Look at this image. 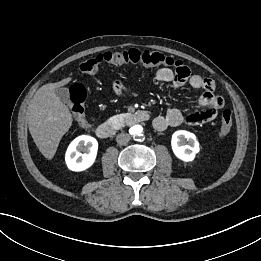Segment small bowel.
<instances>
[{
  "instance_id": "obj_1",
  "label": "small bowel",
  "mask_w": 261,
  "mask_h": 261,
  "mask_svg": "<svg viewBox=\"0 0 261 261\" xmlns=\"http://www.w3.org/2000/svg\"><path fill=\"white\" fill-rule=\"evenodd\" d=\"M156 79L161 83H170L176 88L189 85L193 89L203 90L199 98L202 110L185 116L178 109L170 108L165 115H159L153 120V126L158 131H163L168 127H177L183 123L199 125L210 122L217 117L218 111L224 105L222 97L215 93L214 81L198 74H191L189 68L183 64L175 71L166 67L159 69Z\"/></svg>"
}]
</instances>
